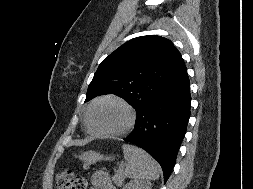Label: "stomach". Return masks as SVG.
<instances>
[{
    "label": "stomach",
    "instance_id": "stomach-1",
    "mask_svg": "<svg viewBox=\"0 0 253 189\" xmlns=\"http://www.w3.org/2000/svg\"><path fill=\"white\" fill-rule=\"evenodd\" d=\"M79 158L84 161L85 163L92 164L95 163L99 160H111V157L109 156H103L100 153L94 152V151H89V152H84L79 156Z\"/></svg>",
    "mask_w": 253,
    "mask_h": 189
}]
</instances>
